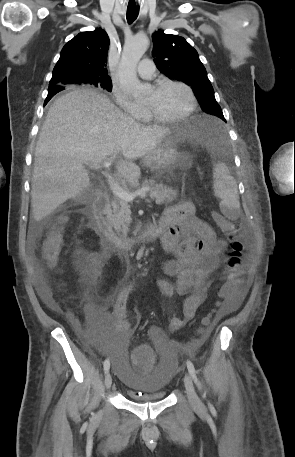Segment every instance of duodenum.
I'll return each mask as SVG.
<instances>
[{"label":"duodenum","mask_w":295,"mask_h":457,"mask_svg":"<svg viewBox=\"0 0 295 457\" xmlns=\"http://www.w3.org/2000/svg\"><path fill=\"white\" fill-rule=\"evenodd\" d=\"M108 207L109 195L100 190L97 192L91 207L85 208L83 214L91 221L103 247L110 253L130 252L141 244L153 242L163 233V224L157 221L148 225L138 239L120 236L111 227Z\"/></svg>","instance_id":"1"}]
</instances>
